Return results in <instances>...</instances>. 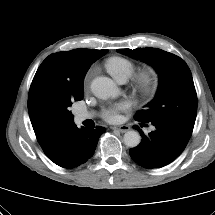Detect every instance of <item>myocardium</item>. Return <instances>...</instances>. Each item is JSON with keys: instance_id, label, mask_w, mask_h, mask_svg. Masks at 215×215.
I'll use <instances>...</instances> for the list:
<instances>
[{"instance_id": "obj_1", "label": "myocardium", "mask_w": 215, "mask_h": 215, "mask_svg": "<svg viewBox=\"0 0 215 215\" xmlns=\"http://www.w3.org/2000/svg\"><path fill=\"white\" fill-rule=\"evenodd\" d=\"M158 78L159 74L156 67L145 66L132 75V88L140 96L149 97L156 91Z\"/></svg>"}]
</instances>
